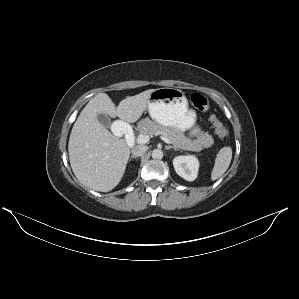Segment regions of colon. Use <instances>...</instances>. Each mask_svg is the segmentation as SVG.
<instances>
[{
    "label": "colon",
    "instance_id": "1",
    "mask_svg": "<svg viewBox=\"0 0 299 299\" xmlns=\"http://www.w3.org/2000/svg\"><path fill=\"white\" fill-rule=\"evenodd\" d=\"M190 101H191V104L196 109H198L200 111H203V112L211 111L210 104H209L207 98L204 95H202L201 93H198V92L192 93L190 96ZM209 118L214 126L216 134L220 138L226 137L228 135L227 127L219 121V119L217 118V116L214 113L210 112Z\"/></svg>",
    "mask_w": 299,
    "mask_h": 299
}]
</instances>
